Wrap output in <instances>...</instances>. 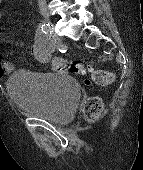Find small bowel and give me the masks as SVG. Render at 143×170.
Returning <instances> with one entry per match:
<instances>
[{
	"label": "small bowel",
	"instance_id": "small-bowel-1",
	"mask_svg": "<svg viewBox=\"0 0 143 170\" xmlns=\"http://www.w3.org/2000/svg\"><path fill=\"white\" fill-rule=\"evenodd\" d=\"M0 2H1V0H0ZM2 19H3V12L0 10V22L2 21ZM30 49H31L33 56L37 60L42 61V62H47L50 59V56H51L50 52L48 50L42 48L39 43L32 44ZM56 65H57V61H54L52 63V66L54 69L57 70ZM12 71H13V65L10 62H8V61L0 62V78L5 75L10 74Z\"/></svg>",
	"mask_w": 143,
	"mask_h": 170
}]
</instances>
